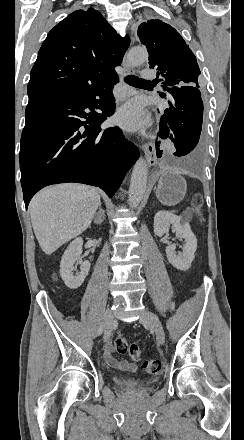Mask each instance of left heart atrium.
Returning <instances> with one entry per match:
<instances>
[{"mask_svg":"<svg viewBox=\"0 0 244 440\" xmlns=\"http://www.w3.org/2000/svg\"><path fill=\"white\" fill-rule=\"evenodd\" d=\"M114 121L128 130H136L150 122V116L139 99H134L121 106L114 116Z\"/></svg>","mask_w":244,"mask_h":440,"instance_id":"1","label":"left heart atrium"}]
</instances>
